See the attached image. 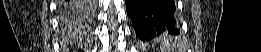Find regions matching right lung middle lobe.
Returning a JSON list of instances; mask_svg holds the SVG:
<instances>
[{
    "mask_svg": "<svg viewBox=\"0 0 261 52\" xmlns=\"http://www.w3.org/2000/svg\"><path fill=\"white\" fill-rule=\"evenodd\" d=\"M80 4V11H79V13H77V14H75L72 18H69V17H65L64 18V20L65 21H79V20H82V17H81V12L83 11V10H86V9H88V8H86V5H85V3L84 2H80L79 3Z\"/></svg>",
    "mask_w": 261,
    "mask_h": 52,
    "instance_id": "dd1d6c3e",
    "label": "right lung middle lobe"
}]
</instances>
